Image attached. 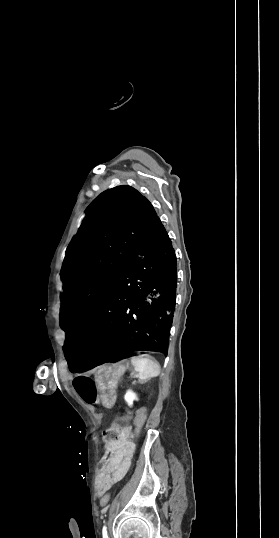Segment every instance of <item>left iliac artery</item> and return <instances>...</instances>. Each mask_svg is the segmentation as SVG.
<instances>
[{
  "label": "left iliac artery",
  "instance_id": "44dca946",
  "mask_svg": "<svg viewBox=\"0 0 279 538\" xmlns=\"http://www.w3.org/2000/svg\"><path fill=\"white\" fill-rule=\"evenodd\" d=\"M102 534H103V538H108L106 526L103 527Z\"/></svg>",
  "mask_w": 279,
  "mask_h": 538
}]
</instances>
